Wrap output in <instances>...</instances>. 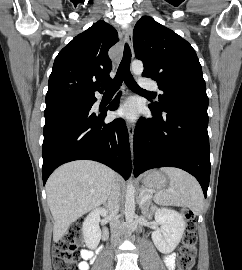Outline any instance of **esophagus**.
<instances>
[{"label": "esophagus", "mask_w": 242, "mask_h": 270, "mask_svg": "<svg viewBox=\"0 0 242 270\" xmlns=\"http://www.w3.org/2000/svg\"><path fill=\"white\" fill-rule=\"evenodd\" d=\"M125 40L128 43L131 51L133 49V29L131 26H129L125 32ZM125 92H127L126 88H125ZM127 129H128V134H129V139H130V144H131V148L133 145V135H134V125L128 123L127 124Z\"/></svg>", "instance_id": "obj_1"}]
</instances>
